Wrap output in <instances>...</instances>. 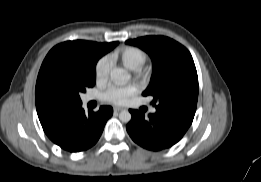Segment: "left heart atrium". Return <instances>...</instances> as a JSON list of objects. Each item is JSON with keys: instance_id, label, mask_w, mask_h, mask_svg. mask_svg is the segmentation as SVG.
I'll use <instances>...</instances> for the list:
<instances>
[{"instance_id": "obj_1", "label": "left heart atrium", "mask_w": 261, "mask_h": 182, "mask_svg": "<svg viewBox=\"0 0 261 182\" xmlns=\"http://www.w3.org/2000/svg\"><path fill=\"white\" fill-rule=\"evenodd\" d=\"M137 90L135 84H129L126 86L111 85L103 92L102 98L105 101L116 105H124L137 92Z\"/></svg>"}]
</instances>
